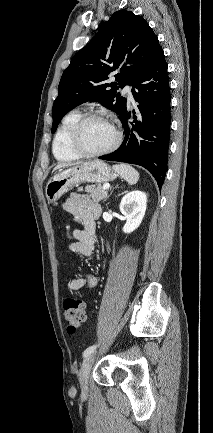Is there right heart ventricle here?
<instances>
[{"label":"right heart ventricle","mask_w":213,"mask_h":433,"mask_svg":"<svg viewBox=\"0 0 213 433\" xmlns=\"http://www.w3.org/2000/svg\"><path fill=\"white\" fill-rule=\"evenodd\" d=\"M81 116L80 112L75 110L69 112L62 120L60 127L58 128L54 142H53V153L57 160L62 162L74 161L80 158L70 146V132Z\"/></svg>","instance_id":"e07e8e85"}]
</instances>
